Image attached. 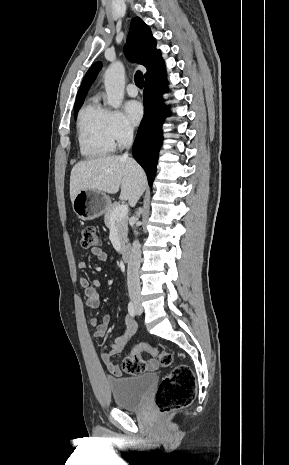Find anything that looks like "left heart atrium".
I'll use <instances>...</instances> for the list:
<instances>
[{"mask_svg":"<svg viewBox=\"0 0 289 465\" xmlns=\"http://www.w3.org/2000/svg\"><path fill=\"white\" fill-rule=\"evenodd\" d=\"M125 110L132 124L137 125L141 122L144 116V109L140 102L135 100L128 101L126 103Z\"/></svg>","mask_w":289,"mask_h":465,"instance_id":"39dd6f15","label":"left heart atrium"}]
</instances>
